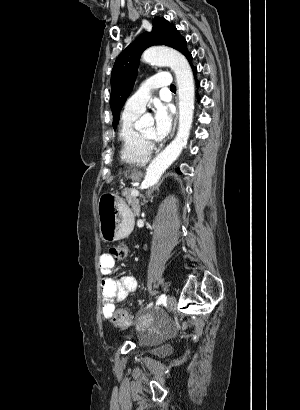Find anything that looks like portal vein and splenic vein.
Instances as JSON below:
<instances>
[{
	"instance_id": "1",
	"label": "portal vein and splenic vein",
	"mask_w": 300,
	"mask_h": 410,
	"mask_svg": "<svg viewBox=\"0 0 300 410\" xmlns=\"http://www.w3.org/2000/svg\"><path fill=\"white\" fill-rule=\"evenodd\" d=\"M131 195L136 197V196L139 195V191L134 189V190L131 191Z\"/></svg>"
}]
</instances>
